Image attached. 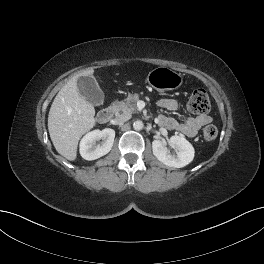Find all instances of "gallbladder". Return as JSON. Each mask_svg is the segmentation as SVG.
<instances>
[{
    "label": "gallbladder",
    "mask_w": 264,
    "mask_h": 264,
    "mask_svg": "<svg viewBox=\"0 0 264 264\" xmlns=\"http://www.w3.org/2000/svg\"><path fill=\"white\" fill-rule=\"evenodd\" d=\"M79 94L92 105L98 106L104 102V93L93 76H82L77 80Z\"/></svg>",
    "instance_id": "gallbladder-1"
}]
</instances>
